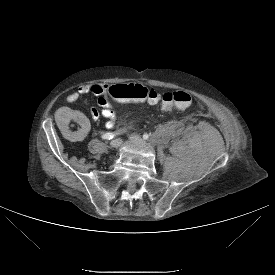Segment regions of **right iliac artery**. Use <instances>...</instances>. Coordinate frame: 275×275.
Wrapping results in <instances>:
<instances>
[{
    "instance_id": "obj_1",
    "label": "right iliac artery",
    "mask_w": 275,
    "mask_h": 275,
    "mask_svg": "<svg viewBox=\"0 0 275 275\" xmlns=\"http://www.w3.org/2000/svg\"><path fill=\"white\" fill-rule=\"evenodd\" d=\"M119 133H112V132H108V133H105L102 135V138L103 139H106V140H110L112 138H114V136L118 135Z\"/></svg>"
}]
</instances>
